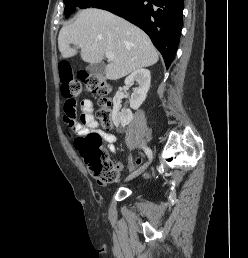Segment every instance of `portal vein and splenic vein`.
<instances>
[{"instance_id":"1","label":"portal vein and splenic vein","mask_w":248,"mask_h":258,"mask_svg":"<svg viewBox=\"0 0 248 258\" xmlns=\"http://www.w3.org/2000/svg\"><path fill=\"white\" fill-rule=\"evenodd\" d=\"M80 47H83V45H79ZM106 58L109 60V61H113L114 60V54L113 53H110V52H107L106 54Z\"/></svg>"}]
</instances>
